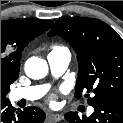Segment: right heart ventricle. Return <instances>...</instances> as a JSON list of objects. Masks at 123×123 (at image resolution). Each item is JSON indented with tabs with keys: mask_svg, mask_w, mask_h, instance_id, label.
Masks as SVG:
<instances>
[{
	"mask_svg": "<svg viewBox=\"0 0 123 123\" xmlns=\"http://www.w3.org/2000/svg\"><path fill=\"white\" fill-rule=\"evenodd\" d=\"M59 48H61V47L56 46V47H54V50H55V49H59Z\"/></svg>",
	"mask_w": 123,
	"mask_h": 123,
	"instance_id": "right-heart-ventricle-1",
	"label": "right heart ventricle"
}]
</instances>
